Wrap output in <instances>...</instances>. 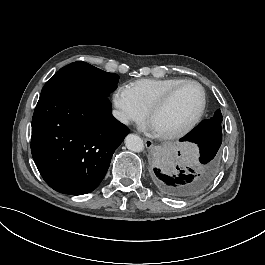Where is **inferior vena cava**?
I'll return each instance as SVG.
<instances>
[{"label": "inferior vena cava", "instance_id": "inferior-vena-cava-1", "mask_svg": "<svg viewBox=\"0 0 265 265\" xmlns=\"http://www.w3.org/2000/svg\"><path fill=\"white\" fill-rule=\"evenodd\" d=\"M113 116L124 124H128V119L118 110H113Z\"/></svg>", "mask_w": 265, "mask_h": 265}]
</instances>
